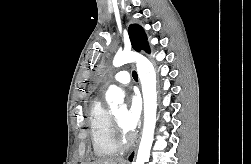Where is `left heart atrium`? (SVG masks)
<instances>
[{
	"label": "left heart atrium",
	"mask_w": 251,
	"mask_h": 164,
	"mask_svg": "<svg viewBox=\"0 0 251 164\" xmlns=\"http://www.w3.org/2000/svg\"><path fill=\"white\" fill-rule=\"evenodd\" d=\"M142 103L139 95L132 94L129 98V105L126 113L124 114L122 128L126 132L133 131L140 120Z\"/></svg>",
	"instance_id": "obj_1"
}]
</instances>
